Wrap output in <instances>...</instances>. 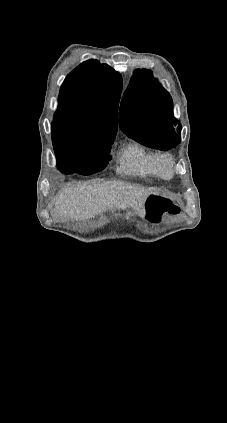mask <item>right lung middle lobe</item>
Wrapping results in <instances>:
<instances>
[{
	"instance_id": "dd1d6c3e",
	"label": "right lung middle lobe",
	"mask_w": 227,
	"mask_h": 423,
	"mask_svg": "<svg viewBox=\"0 0 227 423\" xmlns=\"http://www.w3.org/2000/svg\"><path fill=\"white\" fill-rule=\"evenodd\" d=\"M115 137L96 139L70 138L53 141L58 165L69 166L72 173L90 175L103 170L111 160Z\"/></svg>"
}]
</instances>
